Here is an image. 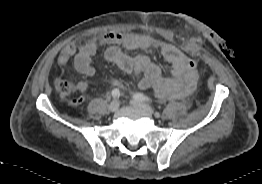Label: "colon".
Here are the masks:
<instances>
[{"instance_id":"5ec220e1","label":"colon","mask_w":262,"mask_h":184,"mask_svg":"<svg viewBox=\"0 0 262 184\" xmlns=\"http://www.w3.org/2000/svg\"><path fill=\"white\" fill-rule=\"evenodd\" d=\"M185 56H186L185 67H186L188 76L190 78V81L188 82V87H190L192 84L193 78L198 76L199 61L193 55V50H190L189 52H187ZM55 87L57 91L62 96H65V97L71 95L75 90V86L73 85V83L65 79H58L55 82Z\"/></svg>"}]
</instances>
